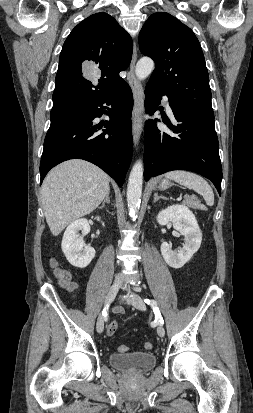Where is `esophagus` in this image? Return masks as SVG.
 Segmentation results:
<instances>
[{
	"mask_svg": "<svg viewBox=\"0 0 253 413\" xmlns=\"http://www.w3.org/2000/svg\"><path fill=\"white\" fill-rule=\"evenodd\" d=\"M137 60V48L136 44L134 43L132 60L130 63V71L128 74V83L131 87L134 99V106L132 111V133H133V140L134 144L137 145L140 140V136L142 133V112H143V105H144V96H143V89L142 85L137 79L135 75V64Z\"/></svg>",
	"mask_w": 253,
	"mask_h": 413,
	"instance_id": "esophagus-1",
	"label": "esophagus"
}]
</instances>
